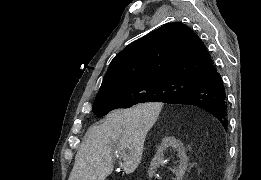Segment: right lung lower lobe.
<instances>
[{"label":"right lung lower lobe","mask_w":261,"mask_h":180,"mask_svg":"<svg viewBox=\"0 0 261 180\" xmlns=\"http://www.w3.org/2000/svg\"><path fill=\"white\" fill-rule=\"evenodd\" d=\"M165 103L190 104L200 107L216 117L224 128L228 125V106L226 92L220 74L216 69L202 75L196 86Z\"/></svg>","instance_id":"1"}]
</instances>
